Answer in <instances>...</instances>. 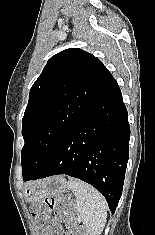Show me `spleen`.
<instances>
[{"instance_id": "spleen-1", "label": "spleen", "mask_w": 155, "mask_h": 235, "mask_svg": "<svg viewBox=\"0 0 155 235\" xmlns=\"http://www.w3.org/2000/svg\"><path fill=\"white\" fill-rule=\"evenodd\" d=\"M67 186L76 197V215L90 235H100L107 220V202L92 186L80 180L71 179Z\"/></svg>"}]
</instances>
